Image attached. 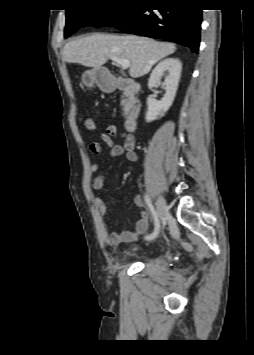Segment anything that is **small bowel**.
Wrapping results in <instances>:
<instances>
[{"label": "small bowel", "instance_id": "c3829d8e", "mask_svg": "<svg viewBox=\"0 0 254 355\" xmlns=\"http://www.w3.org/2000/svg\"><path fill=\"white\" fill-rule=\"evenodd\" d=\"M115 137H121L123 139V144H118L114 142ZM101 141L104 147L97 141L90 143V151L95 155H100L103 153L104 149L108 151V156L111 158L119 157L125 155L127 160L135 162L137 160V154L135 152V138L129 133L120 132L118 127L115 125H110L107 127L106 131L101 134ZM100 169L99 163H94L91 166V171L93 173L98 172ZM93 189L102 190L104 187V177L98 175L94 178L92 182ZM94 204L101 216L105 217L108 213V209L104 201L99 196L93 197ZM134 203L137 207H144V200L140 195L134 197ZM139 219L135 225V231L125 230L122 232H112L109 235V241L113 245H119L122 243H129L136 240L137 236L144 234L149 228V217L145 211H140L138 213Z\"/></svg>", "mask_w": 254, "mask_h": 355}]
</instances>
